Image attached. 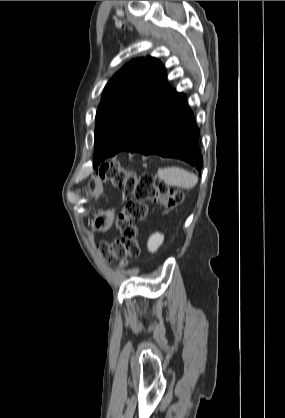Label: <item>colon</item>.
Segmentation results:
<instances>
[{
  "mask_svg": "<svg viewBox=\"0 0 285 418\" xmlns=\"http://www.w3.org/2000/svg\"><path fill=\"white\" fill-rule=\"evenodd\" d=\"M98 175L103 180L111 181L124 188L133 196L117 218L116 227L119 236L110 241L101 242L98 245V252L103 259L108 261L119 257L137 259L141 255L137 223L147 217L149 202L153 201L155 205L163 209L172 210L182 202L183 193L167 185L157 186L151 174H142L135 180L132 174L124 170L116 161L101 166Z\"/></svg>",
  "mask_w": 285,
  "mask_h": 418,
  "instance_id": "colon-1",
  "label": "colon"
}]
</instances>
